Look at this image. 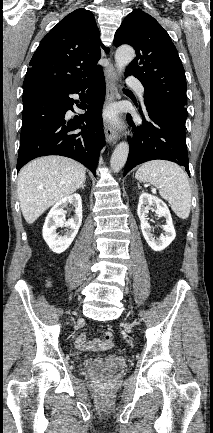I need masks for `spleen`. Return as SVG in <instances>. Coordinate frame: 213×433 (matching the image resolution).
<instances>
[{"label":"spleen","instance_id":"spleen-1","mask_svg":"<svg viewBox=\"0 0 213 433\" xmlns=\"http://www.w3.org/2000/svg\"><path fill=\"white\" fill-rule=\"evenodd\" d=\"M135 178L150 182L159 189V194L170 204L181 219H187L191 210V189L186 173L175 163L149 161L136 172Z\"/></svg>","mask_w":213,"mask_h":433}]
</instances>
